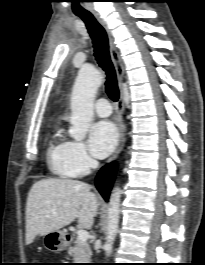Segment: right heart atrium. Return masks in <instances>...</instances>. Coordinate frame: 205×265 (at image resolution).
Wrapping results in <instances>:
<instances>
[{
	"mask_svg": "<svg viewBox=\"0 0 205 265\" xmlns=\"http://www.w3.org/2000/svg\"><path fill=\"white\" fill-rule=\"evenodd\" d=\"M66 163L75 176L85 175L95 165L86 144L80 141H69Z\"/></svg>",
	"mask_w": 205,
	"mask_h": 265,
	"instance_id": "d8ad5b80",
	"label": "right heart atrium"
}]
</instances>
